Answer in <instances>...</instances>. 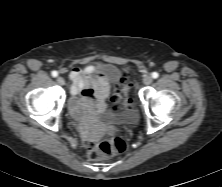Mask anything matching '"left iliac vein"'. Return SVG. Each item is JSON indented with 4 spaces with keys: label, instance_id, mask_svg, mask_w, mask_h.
<instances>
[{
    "label": "left iliac vein",
    "instance_id": "1",
    "mask_svg": "<svg viewBox=\"0 0 222 187\" xmlns=\"http://www.w3.org/2000/svg\"><path fill=\"white\" fill-rule=\"evenodd\" d=\"M153 81L152 77L150 75H146L144 78H143V83L145 85H149L151 84Z\"/></svg>",
    "mask_w": 222,
    "mask_h": 187
}]
</instances>
